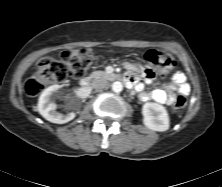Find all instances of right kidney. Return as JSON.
I'll list each match as a JSON object with an SVG mask.
<instances>
[{
  "mask_svg": "<svg viewBox=\"0 0 222 187\" xmlns=\"http://www.w3.org/2000/svg\"><path fill=\"white\" fill-rule=\"evenodd\" d=\"M60 87V85L49 86L41 93L38 101L40 114L46 120L57 124L67 123L75 117V113L73 112L64 115L56 111L57 105L52 102V97L58 92Z\"/></svg>",
  "mask_w": 222,
  "mask_h": 187,
  "instance_id": "obj_1",
  "label": "right kidney"
}]
</instances>
